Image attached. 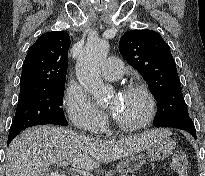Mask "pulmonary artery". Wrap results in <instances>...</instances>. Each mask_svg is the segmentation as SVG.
Segmentation results:
<instances>
[{
	"mask_svg": "<svg viewBox=\"0 0 205 176\" xmlns=\"http://www.w3.org/2000/svg\"><path fill=\"white\" fill-rule=\"evenodd\" d=\"M101 74L108 80L119 79L124 74V65L117 57H108L101 66Z\"/></svg>",
	"mask_w": 205,
	"mask_h": 176,
	"instance_id": "pulmonary-artery-1",
	"label": "pulmonary artery"
}]
</instances>
